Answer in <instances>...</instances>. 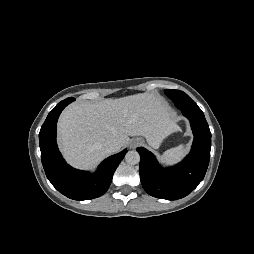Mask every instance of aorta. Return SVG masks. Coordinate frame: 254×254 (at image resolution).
<instances>
[{
	"instance_id": "762f6f07",
	"label": "aorta",
	"mask_w": 254,
	"mask_h": 254,
	"mask_svg": "<svg viewBox=\"0 0 254 254\" xmlns=\"http://www.w3.org/2000/svg\"><path fill=\"white\" fill-rule=\"evenodd\" d=\"M125 160L128 164L135 165L140 162V155L137 151H128L125 155Z\"/></svg>"
}]
</instances>
